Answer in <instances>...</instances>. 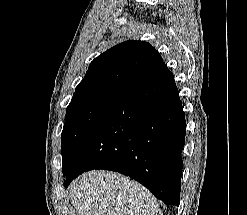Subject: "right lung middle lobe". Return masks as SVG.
<instances>
[{
  "label": "right lung middle lobe",
  "instance_id": "obj_1",
  "mask_svg": "<svg viewBox=\"0 0 247 215\" xmlns=\"http://www.w3.org/2000/svg\"><path fill=\"white\" fill-rule=\"evenodd\" d=\"M129 88H106L75 92L66 109L61 135L63 174L70 168L73 151L81 137L116 108L130 93Z\"/></svg>",
  "mask_w": 247,
  "mask_h": 215
}]
</instances>
